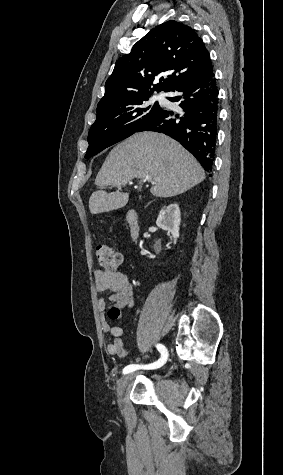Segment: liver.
Segmentation results:
<instances>
[{"label":"liver","instance_id":"1","mask_svg":"<svg viewBox=\"0 0 283 475\" xmlns=\"http://www.w3.org/2000/svg\"><path fill=\"white\" fill-rule=\"evenodd\" d=\"M151 176L150 192L157 198H171L191 190L205 180V172L196 158L176 140L157 132H139L130 136L107 156L95 180L100 190L89 198L91 214L124 208L128 192H104L106 186H127L134 178Z\"/></svg>","mask_w":283,"mask_h":475}]
</instances>
